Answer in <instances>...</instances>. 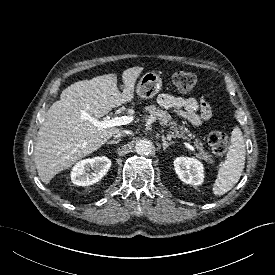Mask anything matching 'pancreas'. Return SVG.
<instances>
[{"instance_id":"1","label":"pancreas","mask_w":275,"mask_h":275,"mask_svg":"<svg viewBox=\"0 0 275 275\" xmlns=\"http://www.w3.org/2000/svg\"><path fill=\"white\" fill-rule=\"evenodd\" d=\"M145 111L149 114L155 116L162 126H170V133L173 137L188 139H194L192 133L188 130V128L181 126L177 123V121H173L170 114L166 111L156 107L155 105H150L145 107ZM194 146L199 150L197 153L200 159L207 161L208 163H212L211 155L204 151V147L202 142L199 139H194Z\"/></svg>"}]
</instances>
